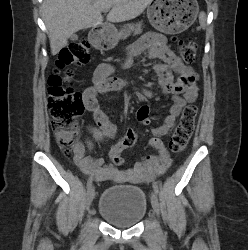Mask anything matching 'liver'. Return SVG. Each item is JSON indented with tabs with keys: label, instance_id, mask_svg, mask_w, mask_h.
I'll return each instance as SVG.
<instances>
[{
	"label": "liver",
	"instance_id": "1",
	"mask_svg": "<svg viewBox=\"0 0 248 250\" xmlns=\"http://www.w3.org/2000/svg\"><path fill=\"white\" fill-rule=\"evenodd\" d=\"M153 0H44L42 15L52 55L68 43L75 32L103 22L101 12L112 8L109 22H123L138 17Z\"/></svg>",
	"mask_w": 248,
	"mask_h": 250
}]
</instances>
